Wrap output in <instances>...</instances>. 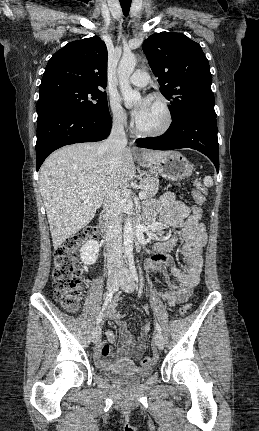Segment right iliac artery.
<instances>
[{"label": "right iliac artery", "instance_id": "right-iliac-artery-1", "mask_svg": "<svg viewBox=\"0 0 259 431\" xmlns=\"http://www.w3.org/2000/svg\"><path fill=\"white\" fill-rule=\"evenodd\" d=\"M112 297H113V291H110V292L107 294V296H106V298H105V301H104V303H103V306H102V310H101V312H100L99 316L97 317V321H96V324H97V325H99V324H100V322L102 321V317H103L104 311H105V309L107 308V306L109 305V303L111 302Z\"/></svg>", "mask_w": 259, "mask_h": 431}]
</instances>
